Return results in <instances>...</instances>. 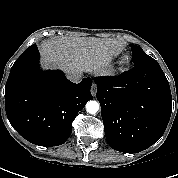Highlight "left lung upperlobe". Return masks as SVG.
Segmentation results:
<instances>
[{
    "label": "left lung upper lobe",
    "instance_id": "5c2ea615",
    "mask_svg": "<svg viewBox=\"0 0 178 178\" xmlns=\"http://www.w3.org/2000/svg\"><path fill=\"white\" fill-rule=\"evenodd\" d=\"M130 47L132 49V60L134 62V65L154 60L152 57L147 55L139 46L131 44Z\"/></svg>",
    "mask_w": 178,
    "mask_h": 178
}]
</instances>
